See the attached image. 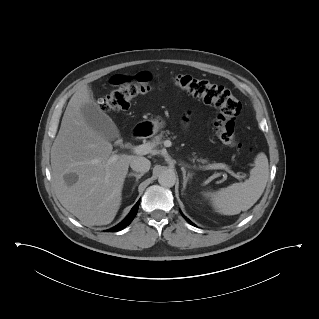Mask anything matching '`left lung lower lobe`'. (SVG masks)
<instances>
[{
	"label": "left lung lower lobe",
	"mask_w": 319,
	"mask_h": 319,
	"mask_svg": "<svg viewBox=\"0 0 319 319\" xmlns=\"http://www.w3.org/2000/svg\"><path fill=\"white\" fill-rule=\"evenodd\" d=\"M183 217L190 223V224H192V225H194L188 218H186L184 215H183ZM195 226V225H194Z\"/></svg>",
	"instance_id": "left-lung-lower-lobe-1"
}]
</instances>
